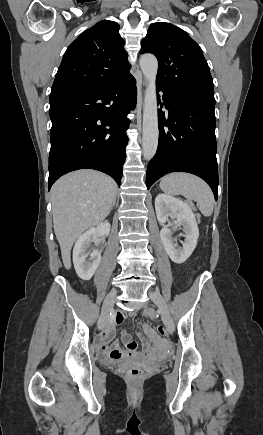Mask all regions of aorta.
<instances>
[{
  "label": "aorta",
  "mask_w": 263,
  "mask_h": 435,
  "mask_svg": "<svg viewBox=\"0 0 263 435\" xmlns=\"http://www.w3.org/2000/svg\"><path fill=\"white\" fill-rule=\"evenodd\" d=\"M140 68L147 80L143 106L142 150L144 158L150 160L156 154L159 138L156 97L158 61L156 57L151 54L142 55Z\"/></svg>",
  "instance_id": "1"
}]
</instances>
